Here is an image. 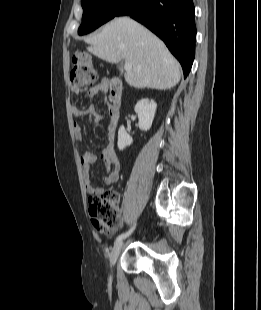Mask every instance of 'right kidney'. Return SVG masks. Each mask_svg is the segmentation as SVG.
<instances>
[{"instance_id": "right-kidney-1", "label": "right kidney", "mask_w": 261, "mask_h": 310, "mask_svg": "<svg viewBox=\"0 0 261 310\" xmlns=\"http://www.w3.org/2000/svg\"><path fill=\"white\" fill-rule=\"evenodd\" d=\"M157 105L155 101L149 99H142L135 105V112L139 119V128L142 131H148L155 116ZM132 138L127 134L124 126H121L118 131V148L119 150L125 149L132 144Z\"/></svg>"}]
</instances>
